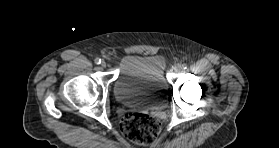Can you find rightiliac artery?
<instances>
[{"instance_id": "right-iliac-artery-1", "label": "right iliac artery", "mask_w": 279, "mask_h": 148, "mask_svg": "<svg viewBox=\"0 0 279 148\" xmlns=\"http://www.w3.org/2000/svg\"><path fill=\"white\" fill-rule=\"evenodd\" d=\"M94 62H95L96 64H100V63H101V59L96 58V59L94 60Z\"/></svg>"}]
</instances>
